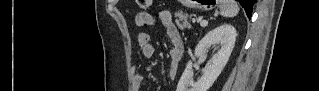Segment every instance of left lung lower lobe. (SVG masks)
<instances>
[{"instance_id": "obj_1", "label": "left lung lower lobe", "mask_w": 319, "mask_h": 91, "mask_svg": "<svg viewBox=\"0 0 319 91\" xmlns=\"http://www.w3.org/2000/svg\"><path fill=\"white\" fill-rule=\"evenodd\" d=\"M238 1L243 6L247 17L250 19L252 14V7H253V4L255 3V0H238Z\"/></svg>"}]
</instances>
